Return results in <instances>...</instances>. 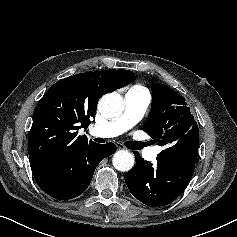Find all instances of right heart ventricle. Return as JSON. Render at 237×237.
Here are the masks:
<instances>
[{
  "instance_id": "e07e8e85",
  "label": "right heart ventricle",
  "mask_w": 237,
  "mask_h": 237,
  "mask_svg": "<svg viewBox=\"0 0 237 237\" xmlns=\"http://www.w3.org/2000/svg\"><path fill=\"white\" fill-rule=\"evenodd\" d=\"M132 89L137 90L139 92H147L146 89L141 85H135L132 87Z\"/></svg>"
}]
</instances>
